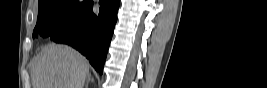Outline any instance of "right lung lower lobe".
Returning a JSON list of instances; mask_svg holds the SVG:
<instances>
[{
	"label": "right lung lower lobe",
	"instance_id": "98d812e1",
	"mask_svg": "<svg viewBox=\"0 0 267 88\" xmlns=\"http://www.w3.org/2000/svg\"><path fill=\"white\" fill-rule=\"evenodd\" d=\"M99 4L101 7L98 15L93 13L92 2L73 25L53 35L51 40L74 47L102 74L120 0H100Z\"/></svg>",
	"mask_w": 267,
	"mask_h": 88
}]
</instances>
